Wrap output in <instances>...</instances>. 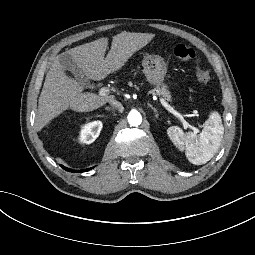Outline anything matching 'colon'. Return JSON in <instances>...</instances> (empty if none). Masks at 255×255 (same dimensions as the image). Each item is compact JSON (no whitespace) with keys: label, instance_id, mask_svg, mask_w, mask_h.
Wrapping results in <instances>:
<instances>
[{"label":"colon","instance_id":"colon-1","mask_svg":"<svg viewBox=\"0 0 255 255\" xmlns=\"http://www.w3.org/2000/svg\"><path fill=\"white\" fill-rule=\"evenodd\" d=\"M174 54L181 61L192 62L194 64L196 77L201 85H206L209 82L210 73L208 69L203 66L194 49L186 45L179 44L175 47Z\"/></svg>","mask_w":255,"mask_h":255}]
</instances>
